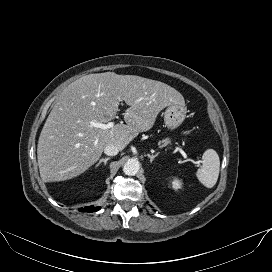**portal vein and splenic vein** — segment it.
<instances>
[{"instance_id": "obj_1", "label": "portal vein and splenic vein", "mask_w": 272, "mask_h": 272, "mask_svg": "<svg viewBox=\"0 0 272 272\" xmlns=\"http://www.w3.org/2000/svg\"><path fill=\"white\" fill-rule=\"evenodd\" d=\"M90 124H91V126L97 128V129H101V130H106V129H110V128L114 127V122H108L106 124L101 123V122H91ZM97 143H98V140L95 141V145ZM169 148H171V147H169ZM175 150L179 151L182 154V156H183L184 159L193 161L192 159L188 158L187 154L181 148L175 147Z\"/></svg>"}]
</instances>
